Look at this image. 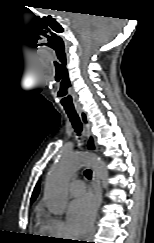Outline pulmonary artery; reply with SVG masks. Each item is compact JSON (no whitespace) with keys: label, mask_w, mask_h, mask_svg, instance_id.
Segmentation results:
<instances>
[{"label":"pulmonary artery","mask_w":154,"mask_h":243,"mask_svg":"<svg viewBox=\"0 0 154 243\" xmlns=\"http://www.w3.org/2000/svg\"><path fill=\"white\" fill-rule=\"evenodd\" d=\"M85 191V184L81 180L72 181L69 185V192L73 196H80Z\"/></svg>","instance_id":"1"}]
</instances>
